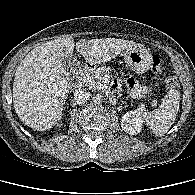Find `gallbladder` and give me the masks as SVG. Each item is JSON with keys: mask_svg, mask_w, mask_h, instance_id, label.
Masks as SVG:
<instances>
[{"mask_svg": "<svg viewBox=\"0 0 195 195\" xmlns=\"http://www.w3.org/2000/svg\"><path fill=\"white\" fill-rule=\"evenodd\" d=\"M62 66L70 73H75L80 68V62L75 55L69 54L68 56H63L59 58Z\"/></svg>", "mask_w": 195, "mask_h": 195, "instance_id": "obj_1", "label": "gallbladder"}]
</instances>
